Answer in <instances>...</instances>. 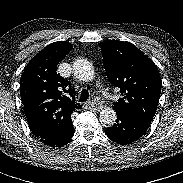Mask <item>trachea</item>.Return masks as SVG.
<instances>
[{"label":"trachea","mask_w":183,"mask_h":183,"mask_svg":"<svg viewBox=\"0 0 183 183\" xmlns=\"http://www.w3.org/2000/svg\"><path fill=\"white\" fill-rule=\"evenodd\" d=\"M89 98V92L86 89H82L79 102H85Z\"/></svg>","instance_id":"trachea-1"}]
</instances>
